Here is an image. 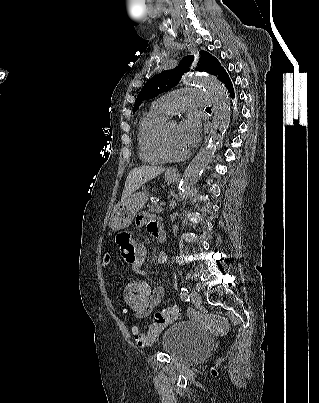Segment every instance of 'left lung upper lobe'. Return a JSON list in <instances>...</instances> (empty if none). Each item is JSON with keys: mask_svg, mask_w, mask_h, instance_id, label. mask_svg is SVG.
<instances>
[{"mask_svg": "<svg viewBox=\"0 0 319 403\" xmlns=\"http://www.w3.org/2000/svg\"><path fill=\"white\" fill-rule=\"evenodd\" d=\"M192 61L193 56H186L180 61L176 68L163 71L151 78L139 92L133 110L136 111L142 101L152 99L162 92H167L172 87L176 86L183 73L188 71ZM197 70L205 71L218 77L224 68L211 54L206 51H201Z\"/></svg>", "mask_w": 319, "mask_h": 403, "instance_id": "left-lung-upper-lobe-1", "label": "left lung upper lobe"}]
</instances>
